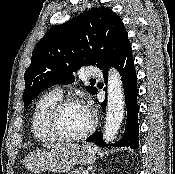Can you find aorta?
<instances>
[{"instance_id": "obj_1", "label": "aorta", "mask_w": 175, "mask_h": 174, "mask_svg": "<svg viewBox=\"0 0 175 174\" xmlns=\"http://www.w3.org/2000/svg\"><path fill=\"white\" fill-rule=\"evenodd\" d=\"M124 91L118 71L110 69L107 86V109L103 139L111 142L117 135L124 117Z\"/></svg>"}]
</instances>
